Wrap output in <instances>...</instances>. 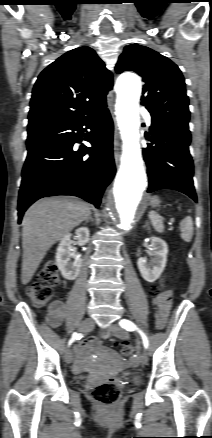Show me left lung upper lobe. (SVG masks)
<instances>
[{
	"instance_id": "1",
	"label": "left lung upper lobe",
	"mask_w": 212,
	"mask_h": 438,
	"mask_svg": "<svg viewBox=\"0 0 212 438\" xmlns=\"http://www.w3.org/2000/svg\"><path fill=\"white\" fill-rule=\"evenodd\" d=\"M137 72L144 81L142 104L152 118L175 122H189L188 96L179 68L167 57L138 44L124 48L116 65V72Z\"/></svg>"
}]
</instances>
